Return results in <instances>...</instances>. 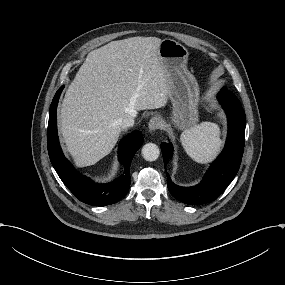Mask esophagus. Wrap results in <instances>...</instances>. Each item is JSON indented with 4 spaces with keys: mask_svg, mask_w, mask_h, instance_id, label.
I'll list each match as a JSON object with an SVG mask.
<instances>
[{
    "mask_svg": "<svg viewBox=\"0 0 285 285\" xmlns=\"http://www.w3.org/2000/svg\"><path fill=\"white\" fill-rule=\"evenodd\" d=\"M149 130L151 132L156 131L157 129H159L161 127V121L159 118L153 117L148 124Z\"/></svg>",
    "mask_w": 285,
    "mask_h": 285,
    "instance_id": "obj_1",
    "label": "esophagus"
}]
</instances>
